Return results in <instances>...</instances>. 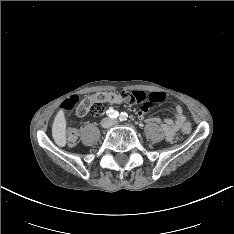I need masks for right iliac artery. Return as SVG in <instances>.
I'll use <instances>...</instances> for the list:
<instances>
[{"mask_svg": "<svg viewBox=\"0 0 234 234\" xmlns=\"http://www.w3.org/2000/svg\"><path fill=\"white\" fill-rule=\"evenodd\" d=\"M107 116L110 118H117L119 113L116 110L110 109L107 112Z\"/></svg>", "mask_w": 234, "mask_h": 234, "instance_id": "82829eb1", "label": "right iliac artery"}]
</instances>
